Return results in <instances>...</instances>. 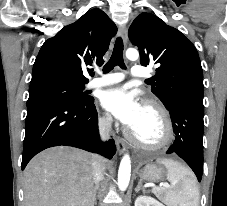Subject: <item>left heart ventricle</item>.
I'll use <instances>...</instances> for the list:
<instances>
[{"label": "left heart ventricle", "instance_id": "left-heart-ventricle-1", "mask_svg": "<svg viewBox=\"0 0 227 206\" xmlns=\"http://www.w3.org/2000/svg\"><path fill=\"white\" fill-rule=\"evenodd\" d=\"M142 141L152 142L161 136V124L158 116L150 109L143 108L142 115L132 129Z\"/></svg>", "mask_w": 227, "mask_h": 206}]
</instances>
